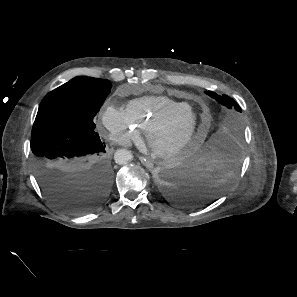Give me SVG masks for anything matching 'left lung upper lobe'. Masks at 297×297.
<instances>
[{
	"mask_svg": "<svg viewBox=\"0 0 297 297\" xmlns=\"http://www.w3.org/2000/svg\"><path fill=\"white\" fill-rule=\"evenodd\" d=\"M206 94L229 109L225 113L224 119L219 127V134L217 137H219V140L225 144L232 145V143L238 141L241 134L240 120L237 113L241 112L240 106L227 95L220 96L212 91H207Z\"/></svg>",
	"mask_w": 297,
	"mask_h": 297,
	"instance_id": "obj_1",
	"label": "left lung upper lobe"
}]
</instances>
